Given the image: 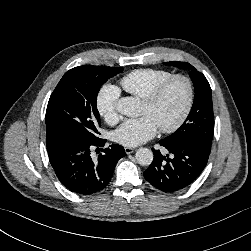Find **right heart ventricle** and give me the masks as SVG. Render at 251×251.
I'll list each match as a JSON object with an SVG mask.
<instances>
[{"label":"right heart ventricle","instance_id":"e07e8e85","mask_svg":"<svg viewBox=\"0 0 251 251\" xmlns=\"http://www.w3.org/2000/svg\"><path fill=\"white\" fill-rule=\"evenodd\" d=\"M172 75V72L164 69H138L124 76L121 79V85L128 93L144 99Z\"/></svg>","mask_w":251,"mask_h":251}]
</instances>
